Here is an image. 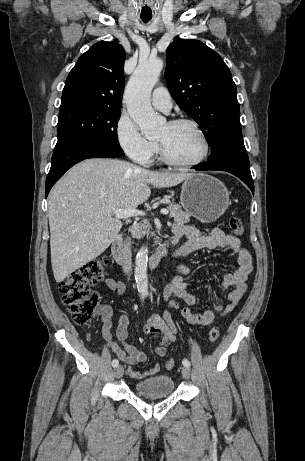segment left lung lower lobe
Masks as SVG:
<instances>
[{"instance_id": "obj_1", "label": "left lung lower lobe", "mask_w": 305, "mask_h": 461, "mask_svg": "<svg viewBox=\"0 0 305 461\" xmlns=\"http://www.w3.org/2000/svg\"><path fill=\"white\" fill-rule=\"evenodd\" d=\"M193 168L197 171L220 170L229 172L240 178L254 194L249 159L241 132L228 135L222 153L216 160L199 163Z\"/></svg>"}]
</instances>
